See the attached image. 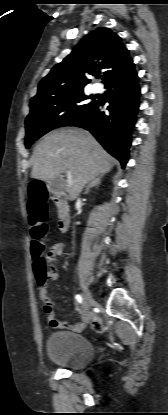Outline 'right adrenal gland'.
Here are the masks:
<instances>
[{"mask_svg":"<svg viewBox=\"0 0 168 415\" xmlns=\"http://www.w3.org/2000/svg\"><path fill=\"white\" fill-rule=\"evenodd\" d=\"M104 175H99L97 176L95 179H93L89 185L86 188L85 194L89 193L90 188L92 187H98L101 184V179L103 178Z\"/></svg>","mask_w":168,"mask_h":415,"instance_id":"2a0ac1e0","label":"right adrenal gland"}]
</instances>
